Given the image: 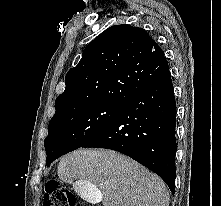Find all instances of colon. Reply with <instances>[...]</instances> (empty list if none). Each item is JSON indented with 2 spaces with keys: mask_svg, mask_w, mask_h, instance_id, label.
<instances>
[{
  "mask_svg": "<svg viewBox=\"0 0 221 206\" xmlns=\"http://www.w3.org/2000/svg\"><path fill=\"white\" fill-rule=\"evenodd\" d=\"M43 206H81L75 194L57 180L46 183Z\"/></svg>",
  "mask_w": 221,
  "mask_h": 206,
  "instance_id": "1",
  "label": "colon"
}]
</instances>
